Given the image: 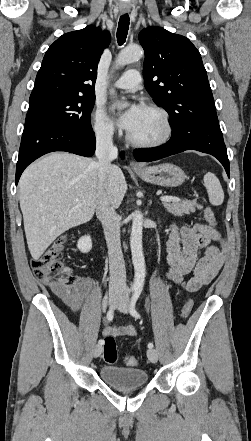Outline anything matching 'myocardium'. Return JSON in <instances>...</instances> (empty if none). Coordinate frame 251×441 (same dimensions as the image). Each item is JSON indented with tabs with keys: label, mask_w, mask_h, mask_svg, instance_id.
I'll return each mask as SVG.
<instances>
[{
	"label": "myocardium",
	"mask_w": 251,
	"mask_h": 441,
	"mask_svg": "<svg viewBox=\"0 0 251 441\" xmlns=\"http://www.w3.org/2000/svg\"><path fill=\"white\" fill-rule=\"evenodd\" d=\"M144 108L154 111L158 113L162 119L163 125H164V132L163 134L154 140H137L135 139L130 133L127 134V140L134 146L140 147V148H155L164 145L169 141V139L172 136L173 127L170 120L169 113L161 106L156 104H148Z\"/></svg>",
	"instance_id": "myocardium-1"
}]
</instances>
